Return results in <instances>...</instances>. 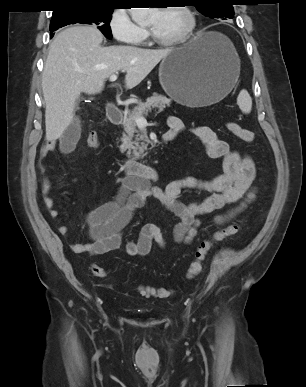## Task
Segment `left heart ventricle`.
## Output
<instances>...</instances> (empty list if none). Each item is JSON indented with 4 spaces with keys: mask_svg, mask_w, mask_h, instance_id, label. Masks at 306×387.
Here are the masks:
<instances>
[{
    "mask_svg": "<svg viewBox=\"0 0 306 387\" xmlns=\"http://www.w3.org/2000/svg\"><path fill=\"white\" fill-rule=\"evenodd\" d=\"M187 24V16L177 8L155 9L148 21V26L154 34L163 40L180 36Z\"/></svg>",
    "mask_w": 306,
    "mask_h": 387,
    "instance_id": "b2bd125f",
    "label": "left heart ventricle"
}]
</instances>
